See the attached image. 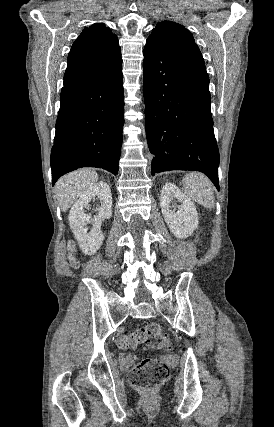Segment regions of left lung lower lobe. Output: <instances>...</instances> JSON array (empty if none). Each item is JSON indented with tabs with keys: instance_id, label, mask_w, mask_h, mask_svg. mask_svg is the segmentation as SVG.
Wrapping results in <instances>:
<instances>
[{
	"instance_id": "left-lung-lower-lobe-1",
	"label": "left lung lower lobe",
	"mask_w": 274,
	"mask_h": 427,
	"mask_svg": "<svg viewBox=\"0 0 274 427\" xmlns=\"http://www.w3.org/2000/svg\"><path fill=\"white\" fill-rule=\"evenodd\" d=\"M143 54L146 136L154 155L151 175L201 171L219 190V151L205 66L151 40Z\"/></svg>"
}]
</instances>
